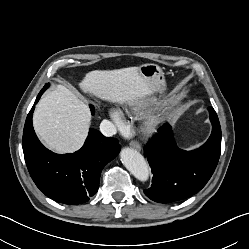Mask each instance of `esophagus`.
Wrapping results in <instances>:
<instances>
[{
    "label": "esophagus",
    "mask_w": 249,
    "mask_h": 249,
    "mask_svg": "<svg viewBox=\"0 0 249 249\" xmlns=\"http://www.w3.org/2000/svg\"><path fill=\"white\" fill-rule=\"evenodd\" d=\"M130 146L138 151L141 150V145L139 144V142L137 141H131L130 142Z\"/></svg>",
    "instance_id": "34e87169"
}]
</instances>
